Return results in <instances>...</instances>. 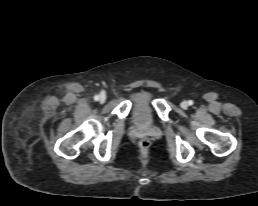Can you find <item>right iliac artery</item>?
<instances>
[{"label":"right iliac artery","mask_w":258,"mask_h":206,"mask_svg":"<svg viewBox=\"0 0 258 206\" xmlns=\"http://www.w3.org/2000/svg\"><path fill=\"white\" fill-rule=\"evenodd\" d=\"M94 100H95V101L99 100V96H98V95H95V96H94Z\"/></svg>","instance_id":"right-iliac-artery-1"}]
</instances>
